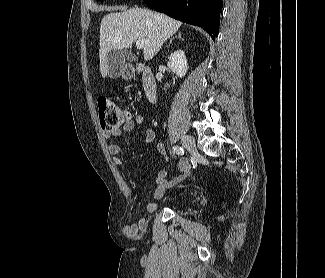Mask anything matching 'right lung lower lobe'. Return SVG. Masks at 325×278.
I'll list each match as a JSON object with an SVG mask.
<instances>
[{"instance_id":"right-lung-lower-lobe-1","label":"right lung lower lobe","mask_w":325,"mask_h":278,"mask_svg":"<svg viewBox=\"0 0 325 278\" xmlns=\"http://www.w3.org/2000/svg\"><path fill=\"white\" fill-rule=\"evenodd\" d=\"M144 2L158 12L202 27L213 40L218 35L222 0H144Z\"/></svg>"}]
</instances>
